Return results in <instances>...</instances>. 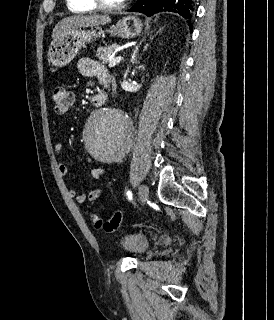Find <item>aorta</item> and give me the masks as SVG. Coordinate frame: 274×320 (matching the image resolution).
Masks as SVG:
<instances>
[{"label":"aorta","instance_id":"1","mask_svg":"<svg viewBox=\"0 0 274 320\" xmlns=\"http://www.w3.org/2000/svg\"><path fill=\"white\" fill-rule=\"evenodd\" d=\"M84 145L96 160L121 159L132 143V122L118 107L107 106L90 116L84 130Z\"/></svg>","mask_w":274,"mask_h":320}]
</instances>
